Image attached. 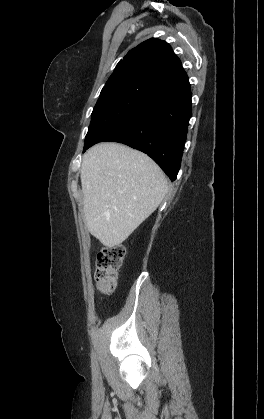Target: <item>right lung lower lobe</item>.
Masks as SVG:
<instances>
[{"mask_svg":"<svg viewBox=\"0 0 264 419\" xmlns=\"http://www.w3.org/2000/svg\"><path fill=\"white\" fill-rule=\"evenodd\" d=\"M191 117L190 87L154 96L103 141H114L150 156L174 181L181 165Z\"/></svg>","mask_w":264,"mask_h":419,"instance_id":"right-lung-lower-lobe-1","label":"right lung lower lobe"}]
</instances>
